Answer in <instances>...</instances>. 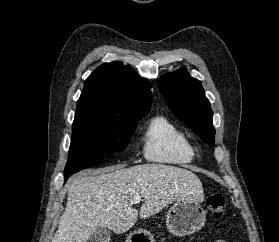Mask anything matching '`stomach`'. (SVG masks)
I'll return each instance as SVG.
<instances>
[{
    "instance_id": "0dacf381",
    "label": "stomach",
    "mask_w": 279,
    "mask_h": 242,
    "mask_svg": "<svg viewBox=\"0 0 279 242\" xmlns=\"http://www.w3.org/2000/svg\"><path fill=\"white\" fill-rule=\"evenodd\" d=\"M206 221V212L193 199H180L170 207L166 215L168 231L178 237L191 235L202 229ZM128 242H154L147 230H137L128 237Z\"/></svg>"
}]
</instances>
